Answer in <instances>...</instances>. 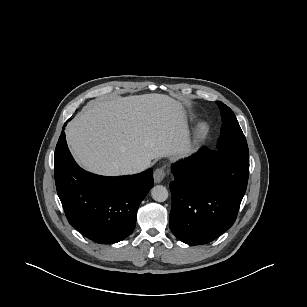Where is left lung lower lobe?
Masks as SVG:
<instances>
[{
    "label": "left lung lower lobe",
    "instance_id": "left-lung-lower-lobe-1",
    "mask_svg": "<svg viewBox=\"0 0 307 307\" xmlns=\"http://www.w3.org/2000/svg\"><path fill=\"white\" fill-rule=\"evenodd\" d=\"M171 170L169 225L178 239L206 244L233 225L247 187L249 159L202 148Z\"/></svg>",
    "mask_w": 307,
    "mask_h": 307
}]
</instances>
